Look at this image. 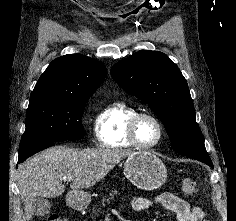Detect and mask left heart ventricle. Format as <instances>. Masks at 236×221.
<instances>
[{"label":"left heart ventricle","instance_id":"obj_1","mask_svg":"<svg viewBox=\"0 0 236 221\" xmlns=\"http://www.w3.org/2000/svg\"><path fill=\"white\" fill-rule=\"evenodd\" d=\"M158 134V128L152 120L143 118L139 121L136 135L140 143L144 145L152 144L157 140Z\"/></svg>","mask_w":236,"mask_h":221}]
</instances>
